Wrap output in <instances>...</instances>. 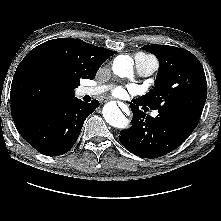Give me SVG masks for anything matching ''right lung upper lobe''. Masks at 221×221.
<instances>
[{
    "label": "right lung upper lobe",
    "mask_w": 221,
    "mask_h": 221,
    "mask_svg": "<svg viewBox=\"0 0 221 221\" xmlns=\"http://www.w3.org/2000/svg\"><path fill=\"white\" fill-rule=\"evenodd\" d=\"M115 53L80 39L59 38L38 45L15 71L10 93L13 119L75 99L74 89L80 79H93Z\"/></svg>",
    "instance_id": "cb5924a9"
}]
</instances>
